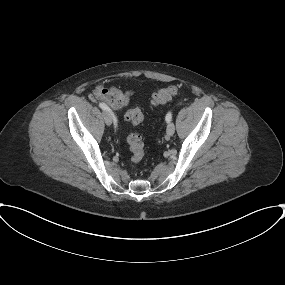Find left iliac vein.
Here are the masks:
<instances>
[{"label":"left iliac vein","instance_id":"left-iliac-vein-1","mask_svg":"<svg viewBox=\"0 0 285 285\" xmlns=\"http://www.w3.org/2000/svg\"><path fill=\"white\" fill-rule=\"evenodd\" d=\"M175 132V125L173 122H169L167 125V135L172 136Z\"/></svg>","mask_w":285,"mask_h":285}]
</instances>
